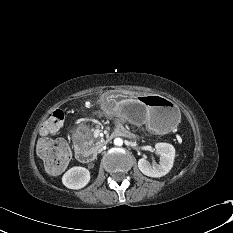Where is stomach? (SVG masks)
<instances>
[{
	"label": "stomach",
	"instance_id": "obj_1",
	"mask_svg": "<svg viewBox=\"0 0 233 233\" xmlns=\"http://www.w3.org/2000/svg\"><path fill=\"white\" fill-rule=\"evenodd\" d=\"M105 108L130 123L146 125L158 134L170 132L180 120V110L171 100L160 95L136 98H106Z\"/></svg>",
	"mask_w": 233,
	"mask_h": 233
}]
</instances>
